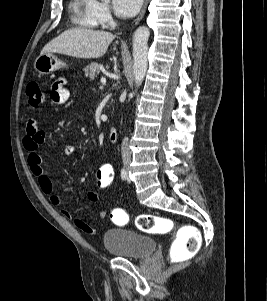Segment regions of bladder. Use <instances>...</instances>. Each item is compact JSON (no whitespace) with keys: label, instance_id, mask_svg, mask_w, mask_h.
Wrapping results in <instances>:
<instances>
[{"label":"bladder","instance_id":"obj_1","mask_svg":"<svg viewBox=\"0 0 267 301\" xmlns=\"http://www.w3.org/2000/svg\"><path fill=\"white\" fill-rule=\"evenodd\" d=\"M102 241L108 252L128 259H141L156 250V242L152 238L123 228L106 230Z\"/></svg>","mask_w":267,"mask_h":301}]
</instances>
